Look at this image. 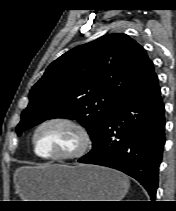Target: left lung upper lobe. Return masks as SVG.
I'll use <instances>...</instances> for the list:
<instances>
[{
    "instance_id": "left-lung-upper-lobe-1",
    "label": "left lung upper lobe",
    "mask_w": 176,
    "mask_h": 211,
    "mask_svg": "<svg viewBox=\"0 0 176 211\" xmlns=\"http://www.w3.org/2000/svg\"><path fill=\"white\" fill-rule=\"evenodd\" d=\"M157 82L145 50L125 34H108L52 62L29 93L16 128L21 133L47 119L78 120L93 145L113 112Z\"/></svg>"
}]
</instances>
